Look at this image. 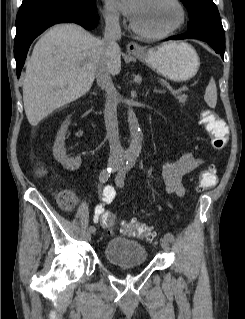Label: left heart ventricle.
I'll return each mask as SVG.
<instances>
[{"instance_id": "b2bd125f", "label": "left heart ventricle", "mask_w": 245, "mask_h": 319, "mask_svg": "<svg viewBox=\"0 0 245 319\" xmlns=\"http://www.w3.org/2000/svg\"><path fill=\"white\" fill-rule=\"evenodd\" d=\"M178 19V9L170 0H142L132 21L140 29L155 33L173 27Z\"/></svg>"}]
</instances>
